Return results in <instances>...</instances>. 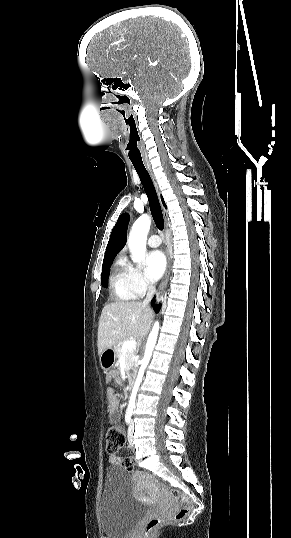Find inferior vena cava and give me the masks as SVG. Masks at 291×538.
Returning <instances> with one entry per match:
<instances>
[{
    "mask_svg": "<svg viewBox=\"0 0 291 538\" xmlns=\"http://www.w3.org/2000/svg\"><path fill=\"white\" fill-rule=\"evenodd\" d=\"M155 293V286L153 285V283L149 284L148 286V291H147V295L143 301V305H148L149 302L152 300V297Z\"/></svg>",
    "mask_w": 291,
    "mask_h": 538,
    "instance_id": "obj_1",
    "label": "inferior vena cava"
}]
</instances>
